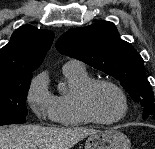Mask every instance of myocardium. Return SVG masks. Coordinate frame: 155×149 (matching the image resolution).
Instances as JSON below:
<instances>
[{
	"label": "myocardium",
	"mask_w": 155,
	"mask_h": 149,
	"mask_svg": "<svg viewBox=\"0 0 155 149\" xmlns=\"http://www.w3.org/2000/svg\"><path fill=\"white\" fill-rule=\"evenodd\" d=\"M100 85H108L114 88L118 92L122 100V106H123L122 112L113 119L104 120L99 118L92 108L91 103L92 93L95 90V88ZM79 106L83 115L90 122L100 125H113L122 121L127 116L129 110V103L126 93L119 84L109 79H92L91 81L86 83L79 93Z\"/></svg>",
	"instance_id": "obj_1"
}]
</instances>
